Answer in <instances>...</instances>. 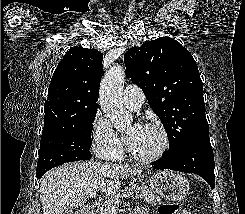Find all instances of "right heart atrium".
Masks as SVG:
<instances>
[{"label":"right heart atrium","mask_w":245,"mask_h":214,"mask_svg":"<svg viewBox=\"0 0 245 214\" xmlns=\"http://www.w3.org/2000/svg\"><path fill=\"white\" fill-rule=\"evenodd\" d=\"M92 147L101 159H116L120 154L121 141L112 126L101 114H96L91 126Z\"/></svg>","instance_id":"right-heart-atrium-1"}]
</instances>
